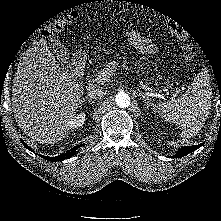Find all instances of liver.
Segmentation results:
<instances>
[{
	"instance_id": "obj_1",
	"label": "liver",
	"mask_w": 221,
	"mask_h": 221,
	"mask_svg": "<svg viewBox=\"0 0 221 221\" xmlns=\"http://www.w3.org/2000/svg\"><path fill=\"white\" fill-rule=\"evenodd\" d=\"M25 56L12 88L16 122L34 141L57 143L69 132L67 122L77 112L83 87L59 66L45 40L27 50Z\"/></svg>"
}]
</instances>
